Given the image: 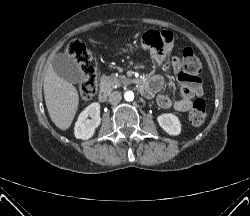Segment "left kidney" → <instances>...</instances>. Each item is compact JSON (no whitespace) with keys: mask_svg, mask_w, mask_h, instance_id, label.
Instances as JSON below:
<instances>
[{"mask_svg":"<svg viewBox=\"0 0 250 216\" xmlns=\"http://www.w3.org/2000/svg\"><path fill=\"white\" fill-rule=\"evenodd\" d=\"M160 127L169 135L177 136L181 133V123L172 113L161 114L157 117Z\"/></svg>","mask_w":250,"mask_h":216,"instance_id":"left-kidney-1","label":"left kidney"}]
</instances>
